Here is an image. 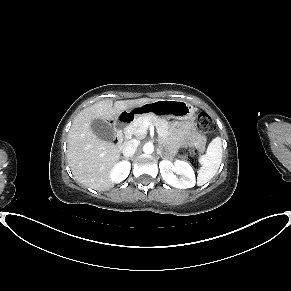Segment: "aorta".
I'll use <instances>...</instances> for the list:
<instances>
[{
	"label": "aorta",
	"mask_w": 291,
	"mask_h": 291,
	"mask_svg": "<svg viewBox=\"0 0 291 291\" xmlns=\"http://www.w3.org/2000/svg\"><path fill=\"white\" fill-rule=\"evenodd\" d=\"M154 151V146L152 143H146L144 146H143V152L145 154H151L153 153Z\"/></svg>",
	"instance_id": "762f6f07"
}]
</instances>
